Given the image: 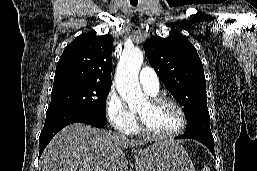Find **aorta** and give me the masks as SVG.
<instances>
[{
  "instance_id": "762f6f07",
  "label": "aorta",
  "mask_w": 257,
  "mask_h": 171,
  "mask_svg": "<svg viewBox=\"0 0 257 171\" xmlns=\"http://www.w3.org/2000/svg\"><path fill=\"white\" fill-rule=\"evenodd\" d=\"M142 63L143 53L139 48L135 47L123 51L117 66V91L127 102L130 109L137 108L146 101L138 81Z\"/></svg>"
}]
</instances>
